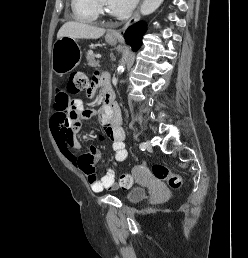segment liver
<instances>
[{"mask_svg":"<svg viewBox=\"0 0 248 258\" xmlns=\"http://www.w3.org/2000/svg\"><path fill=\"white\" fill-rule=\"evenodd\" d=\"M104 33L105 29L103 28L69 21L60 28L57 34V39L61 37H70L74 39H98L104 35Z\"/></svg>","mask_w":248,"mask_h":258,"instance_id":"1","label":"liver"}]
</instances>
